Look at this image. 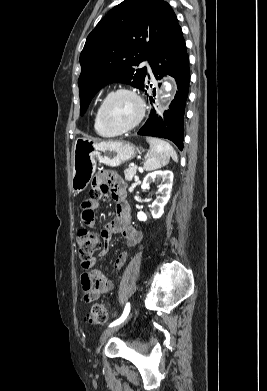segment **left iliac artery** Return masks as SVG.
<instances>
[{"mask_svg":"<svg viewBox=\"0 0 267 391\" xmlns=\"http://www.w3.org/2000/svg\"><path fill=\"white\" fill-rule=\"evenodd\" d=\"M129 312H130V303H127L126 306H125V309L123 311L122 316L119 319H117L116 321L112 322L109 325V327H113V326L121 323L128 316Z\"/></svg>","mask_w":267,"mask_h":391,"instance_id":"obj_1","label":"left iliac artery"}]
</instances>
